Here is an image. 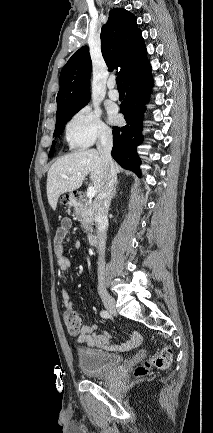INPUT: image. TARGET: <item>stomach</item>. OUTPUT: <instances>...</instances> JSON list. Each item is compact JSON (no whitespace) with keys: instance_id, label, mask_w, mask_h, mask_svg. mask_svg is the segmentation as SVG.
Returning <instances> with one entry per match:
<instances>
[{"instance_id":"0dacf381","label":"stomach","mask_w":213,"mask_h":433,"mask_svg":"<svg viewBox=\"0 0 213 433\" xmlns=\"http://www.w3.org/2000/svg\"><path fill=\"white\" fill-rule=\"evenodd\" d=\"M65 201H67L68 204H71L74 201V197L72 193H66L64 195Z\"/></svg>"}]
</instances>
